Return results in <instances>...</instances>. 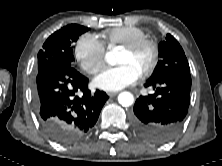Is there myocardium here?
<instances>
[{
  "instance_id": "myocardium-1",
  "label": "myocardium",
  "mask_w": 222,
  "mask_h": 166,
  "mask_svg": "<svg viewBox=\"0 0 222 166\" xmlns=\"http://www.w3.org/2000/svg\"><path fill=\"white\" fill-rule=\"evenodd\" d=\"M143 48H148L151 51V59L148 66L141 72V75L146 76L154 71L159 59V49L157 44L151 39H140L129 45L123 46V49L129 53H136Z\"/></svg>"
}]
</instances>
